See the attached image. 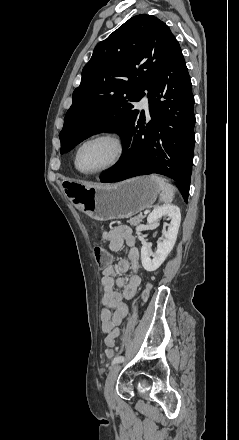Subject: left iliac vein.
Returning <instances> with one entry per match:
<instances>
[{
  "label": "left iliac vein",
  "mask_w": 239,
  "mask_h": 440,
  "mask_svg": "<svg viewBox=\"0 0 239 440\" xmlns=\"http://www.w3.org/2000/svg\"><path fill=\"white\" fill-rule=\"evenodd\" d=\"M120 365L115 364L110 368V371L107 375L105 387H104V394L105 398L109 405L113 406L115 404L114 399V384L116 382L118 373L120 371Z\"/></svg>",
  "instance_id": "obj_1"
}]
</instances>
